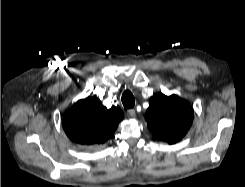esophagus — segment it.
Wrapping results in <instances>:
<instances>
[{
  "label": "esophagus",
  "instance_id": "obj_1",
  "mask_svg": "<svg viewBox=\"0 0 245 187\" xmlns=\"http://www.w3.org/2000/svg\"><path fill=\"white\" fill-rule=\"evenodd\" d=\"M127 115H128V117H130V118H135V116H136V111H135V109H129V110H127Z\"/></svg>",
  "mask_w": 245,
  "mask_h": 187
}]
</instances>
